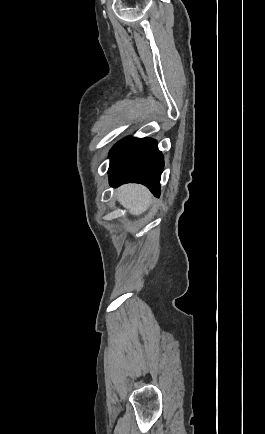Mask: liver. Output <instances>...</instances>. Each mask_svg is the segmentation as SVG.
I'll list each match as a JSON object with an SVG mask.
<instances>
[{
	"instance_id": "6515ba94",
	"label": "liver",
	"mask_w": 265,
	"mask_h": 434,
	"mask_svg": "<svg viewBox=\"0 0 265 434\" xmlns=\"http://www.w3.org/2000/svg\"><path fill=\"white\" fill-rule=\"evenodd\" d=\"M117 200L132 216H140L148 210L152 196L144 186L126 184L117 190Z\"/></svg>"
}]
</instances>
